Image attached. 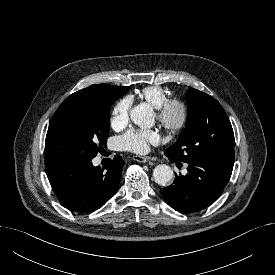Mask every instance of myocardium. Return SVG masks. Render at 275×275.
Masks as SVG:
<instances>
[{"label":"myocardium","instance_id":"obj_1","mask_svg":"<svg viewBox=\"0 0 275 275\" xmlns=\"http://www.w3.org/2000/svg\"><path fill=\"white\" fill-rule=\"evenodd\" d=\"M158 122L169 132L177 133L184 130L190 120V107L181 98L167 99L157 108Z\"/></svg>","mask_w":275,"mask_h":275}]
</instances>
